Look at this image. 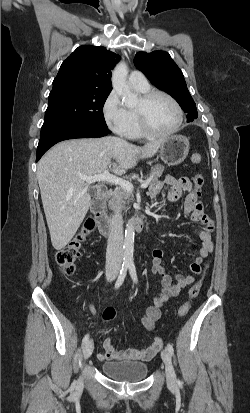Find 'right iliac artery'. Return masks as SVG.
Masks as SVG:
<instances>
[{
	"label": "right iliac artery",
	"instance_id": "82829eb1",
	"mask_svg": "<svg viewBox=\"0 0 250 413\" xmlns=\"http://www.w3.org/2000/svg\"><path fill=\"white\" fill-rule=\"evenodd\" d=\"M128 267H129V265H127V264L122 265V268L120 270V274H119V276L117 278V281L115 283V289H118L122 285V283H123V281L126 277ZM88 339H89V334H86L83 338V341H82L83 344H85L88 341Z\"/></svg>",
	"mask_w": 250,
	"mask_h": 413
}]
</instances>
